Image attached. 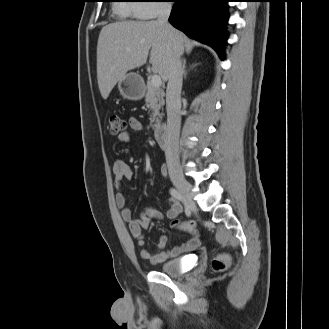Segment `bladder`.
I'll list each match as a JSON object with an SVG mask.
<instances>
[{
    "mask_svg": "<svg viewBox=\"0 0 329 329\" xmlns=\"http://www.w3.org/2000/svg\"><path fill=\"white\" fill-rule=\"evenodd\" d=\"M186 257L170 258L161 262L159 272L169 275L178 276L185 272Z\"/></svg>",
    "mask_w": 329,
    "mask_h": 329,
    "instance_id": "bladder-1",
    "label": "bladder"
}]
</instances>
